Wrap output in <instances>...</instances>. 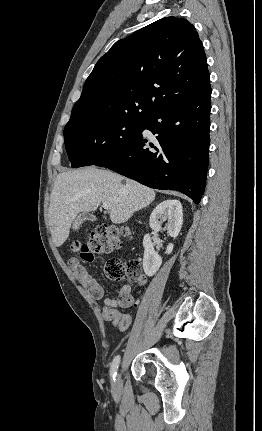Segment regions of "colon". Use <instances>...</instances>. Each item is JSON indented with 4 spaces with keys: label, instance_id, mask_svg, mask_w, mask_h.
Returning <instances> with one entry per match:
<instances>
[{
    "label": "colon",
    "instance_id": "colon-1",
    "mask_svg": "<svg viewBox=\"0 0 262 431\" xmlns=\"http://www.w3.org/2000/svg\"><path fill=\"white\" fill-rule=\"evenodd\" d=\"M127 228H117L108 224L97 226L83 241H72L71 251L76 253L81 261H93L96 255L108 253L121 246V238L129 236ZM105 275L111 280H122L126 277L139 278L140 266L138 261L123 262L119 259L109 260L104 266ZM105 319L120 329H127L130 319L126 315L107 316Z\"/></svg>",
    "mask_w": 262,
    "mask_h": 431
}]
</instances>
